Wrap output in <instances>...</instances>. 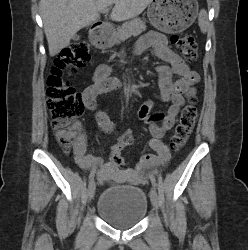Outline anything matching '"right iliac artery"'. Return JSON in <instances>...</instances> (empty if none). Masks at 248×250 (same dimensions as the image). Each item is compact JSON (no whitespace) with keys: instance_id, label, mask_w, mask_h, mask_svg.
Returning a JSON list of instances; mask_svg holds the SVG:
<instances>
[{"instance_id":"82829eb1","label":"right iliac artery","mask_w":248,"mask_h":250,"mask_svg":"<svg viewBox=\"0 0 248 250\" xmlns=\"http://www.w3.org/2000/svg\"><path fill=\"white\" fill-rule=\"evenodd\" d=\"M94 176H95L94 172H91L89 174V182H91L94 179Z\"/></svg>"}]
</instances>
